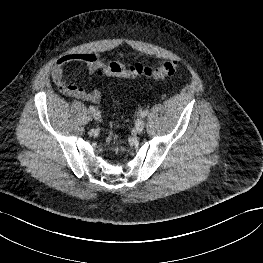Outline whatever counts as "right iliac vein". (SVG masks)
Returning <instances> with one entry per match:
<instances>
[{"label":"right iliac vein","mask_w":263,"mask_h":263,"mask_svg":"<svg viewBox=\"0 0 263 263\" xmlns=\"http://www.w3.org/2000/svg\"><path fill=\"white\" fill-rule=\"evenodd\" d=\"M92 117L95 119V120H99L101 118V114L98 110H94L92 112Z\"/></svg>","instance_id":"right-iliac-vein-1"}]
</instances>
